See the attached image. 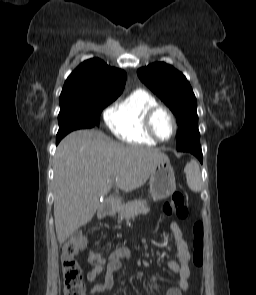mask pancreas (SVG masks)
Instances as JSON below:
<instances>
[{
	"label": "pancreas",
	"mask_w": 256,
	"mask_h": 295,
	"mask_svg": "<svg viewBox=\"0 0 256 295\" xmlns=\"http://www.w3.org/2000/svg\"><path fill=\"white\" fill-rule=\"evenodd\" d=\"M149 208L146 205V201L136 200L134 202H129L122 206L121 216L124 218H130L136 214H146Z\"/></svg>",
	"instance_id": "cf45deb5"
}]
</instances>
